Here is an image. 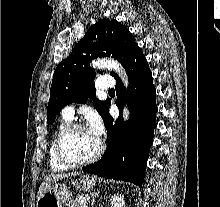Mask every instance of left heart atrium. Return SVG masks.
Segmentation results:
<instances>
[{
	"instance_id": "39dd6f15",
	"label": "left heart atrium",
	"mask_w": 220,
	"mask_h": 207,
	"mask_svg": "<svg viewBox=\"0 0 220 207\" xmlns=\"http://www.w3.org/2000/svg\"><path fill=\"white\" fill-rule=\"evenodd\" d=\"M97 139H100L103 133V124L97 115H93L89 120L87 128Z\"/></svg>"
}]
</instances>
